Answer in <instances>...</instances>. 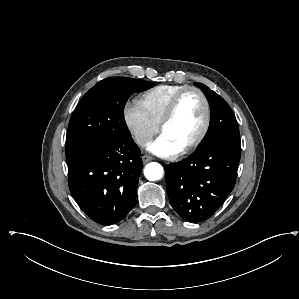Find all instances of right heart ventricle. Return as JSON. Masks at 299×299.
I'll return each mask as SVG.
<instances>
[{
	"label": "right heart ventricle",
	"instance_id": "e07e8e85",
	"mask_svg": "<svg viewBox=\"0 0 299 299\" xmlns=\"http://www.w3.org/2000/svg\"><path fill=\"white\" fill-rule=\"evenodd\" d=\"M186 87V85H159L141 94L137 103L149 119L158 126L173 97Z\"/></svg>",
	"mask_w": 299,
	"mask_h": 299
}]
</instances>
